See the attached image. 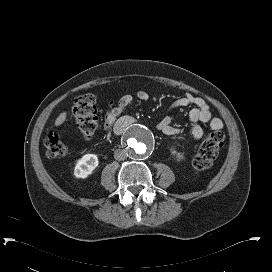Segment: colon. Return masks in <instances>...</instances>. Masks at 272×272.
Wrapping results in <instances>:
<instances>
[{
    "label": "colon",
    "instance_id": "colon-1",
    "mask_svg": "<svg viewBox=\"0 0 272 272\" xmlns=\"http://www.w3.org/2000/svg\"><path fill=\"white\" fill-rule=\"evenodd\" d=\"M73 116L80 133L86 137H91L99 123L97 98L92 93L78 96L73 105ZM224 143V133L216 130L210 134L201 144L193 160V167L196 170L209 168L216 158ZM45 147L47 155L51 158L62 157L67 154V146L61 135L57 132H50L45 137Z\"/></svg>",
    "mask_w": 272,
    "mask_h": 272
}]
</instances>
